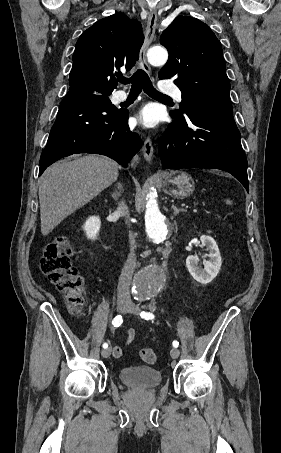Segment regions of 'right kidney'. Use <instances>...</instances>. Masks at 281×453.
<instances>
[{
	"label": "right kidney",
	"instance_id": "right-kidney-1",
	"mask_svg": "<svg viewBox=\"0 0 281 453\" xmlns=\"http://www.w3.org/2000/svg\"><path fill=\"white\" fill-rule=\"evenodd\" d=\"M100 224L99 216H89L83 227L88 239H96L100 231Z\"/></svg>",
	"mask_w": 281,
	"mask_h": 453
}]
</instances>
